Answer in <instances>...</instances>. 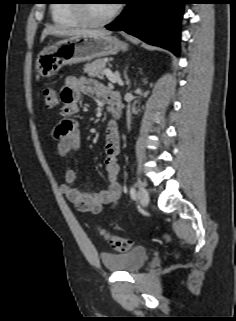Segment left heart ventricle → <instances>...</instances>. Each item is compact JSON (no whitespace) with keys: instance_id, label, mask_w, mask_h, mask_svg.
I'll return each mask as SVG.
<instances>
[{"instance_id":"left-heart-ventricle-1","label":"left heart ventricle","mask_w":236,"mask_h":321,"mask_svg":"<svg viewBox=\"0 0 236 321\" xmlns=\"http://www.w3.org/2000/svg\"><path fill=\"white\" fill-rule=\"evenodd\" d=\"M114 4L109 0H91L89 3V13L95 19L105 18L110 14Z\"/></svg>"}]
</instances>
